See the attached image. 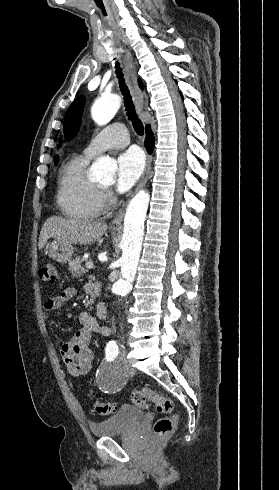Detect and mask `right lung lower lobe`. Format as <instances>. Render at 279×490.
<instances>
[{"label":"right lung lower lobe","instance_id":"98d812e1","mask_svg":"<svg viewBox=\"0 0 279 490\" xmlns=\"http://www.w3.org/2000/svg\"><path fill=\"white\" fill-rule=\"evenodd\" d=\"M145 130L147 135L145 138V147L147 148L148 152L151 153L154 149V137L152 136V131L149 125L146 126Z\"/></svg>","mask_w":279,"mask_h":490}]
</instances>
